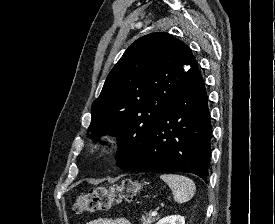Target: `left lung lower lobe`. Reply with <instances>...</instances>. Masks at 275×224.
Segmentation results:
<instances>
[{
    "instance_id": "left-lung-lower-lobe-1",
    "label": "left lung lower lobe",
    "mask_w": 275,
    "mask_h": 224,
    "mask_svg": "<svg viewBox=\"0 0 275 224\" xmlns=\"http://www.w3.org/2000/svg\"><path fill=\"white\" fill-rule=\"evenodd\" d=\"M211 133L207 93L196 71L151 129L138 156L122 169L194 173L207 182Z\"/></svg>"
}]
</instances>
